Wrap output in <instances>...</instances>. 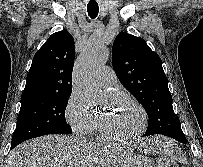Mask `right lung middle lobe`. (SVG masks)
Segmentation results:
<instances>
[{
	"label": "right lung middle lobe",
	"mask_w": 203,
	"mask_h": 167,
	"mask_svg": "<svg viewBox=\"0 0 203 167\" xmlns=\"http://www.w3.org/2000/svg\"><path fill=\"white\" fill-rule=\"evenodd\" d=\"M71 94L35 97L21 101L12 147L47 134H70L65 109Z\"/></svg>",
	"instance_id": "1"
}]
</instances>
